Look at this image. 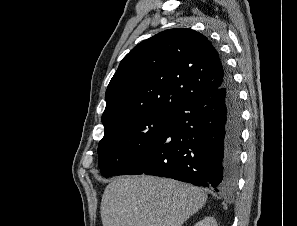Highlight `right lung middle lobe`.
I'll return each mask as SVG.
<instances>
[{"mask_svg": "<svg viewBox=\"0 0 297 226\" xmlns=\"http://www.w3.org/2000/svg\"><path fill=\"white\" fill-rule=\"evenodd\" d=\"M175 111L134 115L105 128L99 142V167L104 177L115 175L142 153L173 121Z\"/></svg>", "mask_w": 297, "mask_h": 226, "instance_id": "dd1d6c3e", "label": "right lung middle lobe"}]
</instances>
